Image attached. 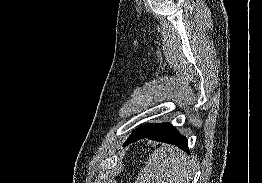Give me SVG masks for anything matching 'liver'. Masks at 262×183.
Here are the masks:
<instances>
[{"instance_id":"6515ba94","label":"liver","mask_w":262,"mask_h":183,"mask_svg":"<svg viewBox=\"0 0 262 183\" xmlns=\"http://www.w3.org/2000/svg\"><path fill=\"white\" fill-rule=\"evenodd\" d=\"M191 178L187 155L176 146L163 144L149 156L135 183H189Z\"/></svg>"}]
</instances>
